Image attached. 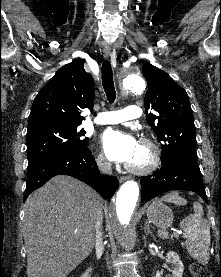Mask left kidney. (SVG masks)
I'll return each instance as SVG.
<instances>
[{
    "mask_svg": "<svg viewBox=\"0 0 221 277\" xmlns=\"http://www.w3.org/2000/svg\"><path fill=\"white\" fill-rule=\"evenodd\" d=\"M166 262L172 265V277H182L184 266L182 261L180 260L179 255L176 252L170 251L167 253ZM163 272L157 271L156 277H162Z\"/></svg>",
    "mask_w": 221,
    "mask_h": 277,
    "instance_id": "obj_1",
    "label": "left kidney"
}]
</instances>
